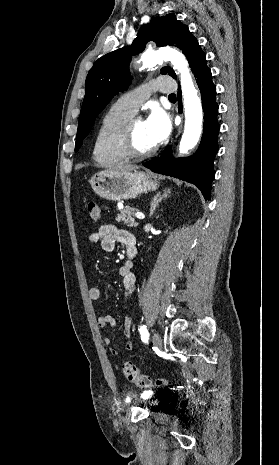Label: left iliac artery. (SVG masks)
Segmentation results:
<instances>
[{
    "label": "left iliac artery",
    "mask_w": 279,
    "mask_h": 465,
    "mask_svg": "<svg viewBox=\"0 0 279 465\" xmlns=\"http://www.w3.org/2000/svg\"><path fill=\"white\" fill-rule=\"evenodd\" d=\"M139 332H140V335H141V340L144 342V343H148V338H149V333H148V330L146 328V326H141L139 328Z\"/></svg>",
    "instance_id": "44dca946"
}]
</instances>
